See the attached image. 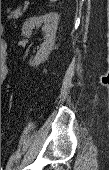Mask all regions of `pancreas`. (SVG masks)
<instances>
[{
	"instance_id": "cf45deb5",
	"label": "pancreas",
	"mask_w": 109,
	"mask_h": 170,
	"mask_svg": "<svg viewBox=\"0 0 109 170\" xmlns=\"http://www.w3.org/2000/svg\"><path fill=\"white\" fill-rule=\"evenodd\" d=\"M25 10H26V8H24L23 10H21L20 8H17L16 10H12V11L8 10V13H9L8 18L9 19H17L23 15V12H25Z\"/></svg>"
}]
</instances>
